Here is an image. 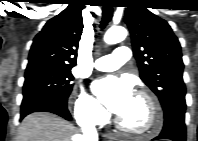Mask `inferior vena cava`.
Wrapping results in <instances>:
<instances>
[{
  "label": "inferior vena cava",
  "instance_id": "inferior-vena-cava-1",
  "mask_svg": "<svg viewBox=\"0 0 198 141\" xmlns=\"http://www.w3.org/2000/svg\"><path fill=\"white\" fill-rule=\"evenodd\" d=\"M83 135L80 137L82 141H98V134L95 127L91 124L82 126Z\"/></svg>",
  "mask_w": 198,
  "mask_h": 141
}]
</instances>
